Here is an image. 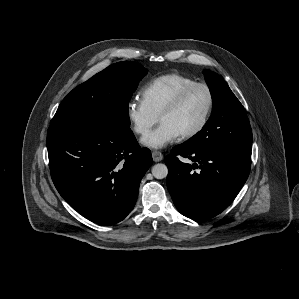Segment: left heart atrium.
Listing matches in <instances>:
<instances>
[{"label": "left heart atrium", "mask_w": 299, "mask_h": 299, "mask_svg": "<svg viewBox=\"0 0 299 299\" xmlns=\"http://www.w3.org/2000/svg\"><path fill=\"white\" fill-rule=\"evenodd\" d=\"M179 136L180 133L174 127L161 122L157 128L142 139V144L150 148L161 149L174 142Z\"/></svg>", "instance_id": "1"}]
</instances>
